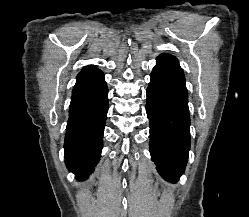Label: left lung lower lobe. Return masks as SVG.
I'll return each mask as SVG.
<instances>
[{
    "instance_id": "1",
    "label": "left lung lower lobe",
    "mask_w": 249,
    "mask_h": 217,
    "mask_svg": "<svg viewBox=\"0 0 249 217\" xmlns=\"http://www.w3.org/2000/svg\"><path fill=\"white\" fill-rule=\"evenodd\" d=\"M150 154L160 175L175 183L183 174L190 148V116L185 76L169 54L156 59L147 88Z\"/></svg>"
}]
</instances>
